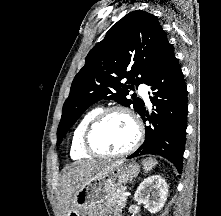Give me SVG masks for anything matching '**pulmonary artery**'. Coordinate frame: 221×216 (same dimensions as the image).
Returning <instances> with one entry per match:
<instances>
[{
	"label": "pulmonary artery",
	"mask_w": 221,
	"mask_h": 216,
	"mask_svg": "<svg viewBox=\"0 0 221 216\" xmlns=\"http://www.w3.org/2000/svg\"><path fill=\"white\" fill-rule=\"evenodd\" d=\"M139 92L141 94V96L144 98L145 102L147 104H150V100H149V95H148V92H147V88L145 86H140L139 88Z\"/></svg>",
	"instance_id": "e3ab8cb5"
}]
</instances>
